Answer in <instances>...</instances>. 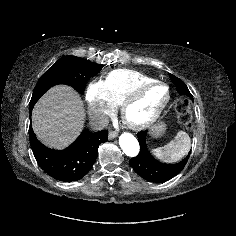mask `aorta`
Masks as SVG:
<instances>
[{
  "instance_id": "aorta-1",
  "label": "aorta",
  "mask_w": 236,
  "mask_h": 236,
  "mask_svg": "<svg viewBox=\"0 0 236 236\" xmlns=\"http://www.w3.org/2000/svg\"><path fill=\"white\" fill-rule=\"evenodd\" d=\"M119 145L129 157L137 156L140 150L138 140L130 133H122L120 135Z\"/></svg>"
}]
</instances>
